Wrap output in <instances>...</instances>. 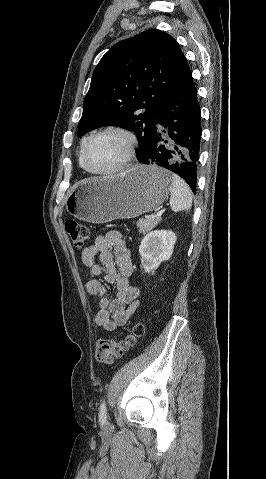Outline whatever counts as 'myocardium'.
Returning <instances> with one entry per match:
<instances>
[{
    "instance_id": "f54148a6",
    "label": "myocardium",
    "mask_w": 266,
    "mask_h": 479,
    "mask_svg": "<svg viewBox=\"0 0 266 479\" xmlns=\"http://www.w3.org/2000/svg\"><path fill=\"white\" fill-rule=\"evenodd\" d=\"M106 133H115V134H119V135L123 136L127 141V147H126V151H125V154H124L123 158L121 159V161L116 166H114L113 168L108 169V170L99 171V170H95V169H93L89 166V164L87 162V151H88L92 141L95 138H97L98 136H101L103 134H106ZM136 144H137V138H136L135 134L132 131L126 129V128L119 127V126H108V127L102 128V129L94 132L93 134H91L87 138V140H86V142L83 146L82 154H81L83 164H84L85 168L87 169V171H89L90 173L95 174V175L114 174V173L122 170L123 168H125L128 165V163L130 162V160L132 159V156L134 154Z\"/></svg>"
}]
</instances>
